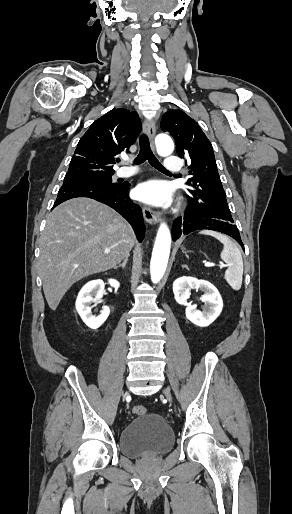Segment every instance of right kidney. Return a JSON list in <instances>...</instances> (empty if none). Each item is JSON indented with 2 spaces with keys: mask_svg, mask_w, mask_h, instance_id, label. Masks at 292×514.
I'll use <instances>...</instances> for the list:
<instances>
[{
  "mask_svg": "<svg viewBox=\"0 0 292 514\" xmlns=\"http://www.w3.org/2000/svg\"><path fill=\"white\" fill-rule=\"evenodd\" d=\"M108 282L112 288H119L120 286L117 280H108ZM104 286L105 284L102 280H92V282H88V284H85V286L81 288L77 296L75 304L76 310L83 322H85L86 326L91 328V330L100 328L110 314V308H108V306H103L100 316H93L90 308L92 302L99 304L101 298H103ZM93 296H95V298H93Z\"/></svg>",
  "mask_w": 292,
  "mask_h": 514,
  "instance_id": "obj_1",
  "label": "right kidney"
}]
</instances>
